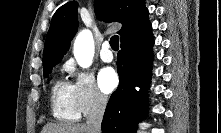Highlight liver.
Listing matches in <instances>:
<instances>
[{
  "label": "liver",
  "mask_w": 221,
  "mask_h": 133,
  "mask_svg": "<svg viewBox=\"0 0 221 133\" xmlns=\"http://www.w3.org/2000/svg\"><path fill=\"white\" fill-rule=\"evenodd\" d=\"M41 133H89L86 124L65 123V124H46Z\"/></svg>",
  "instance_id": "6515ba94"
}]
</instances>
